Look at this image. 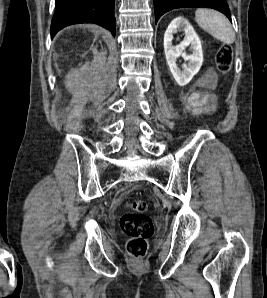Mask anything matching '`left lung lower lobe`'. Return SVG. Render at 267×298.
<instances>
[{"instance_id":"obj_1","label":"left lung lower lobe","mask_w":267,"mask_h":298,"mask_svg":"<svg viewBox=\"0 0 267 298\" xmlns=\"http://www.w3.org/2000/svg\"><path fill=\"white\" fill-rule=\"evenodd\" d=\"M155 8V21L167 11L185 7H208L225 14L229 20L230 13L226 0H153Z\"/></svg>"}]
</instances>
